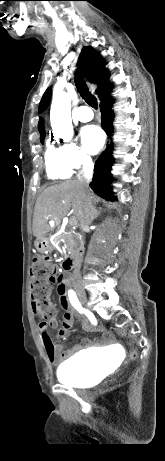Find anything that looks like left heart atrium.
<instances>
[{
  "instance_id": "39dd6f15",
  "label": "left heart atrium",
  "mask_w": 165,
  "mask_h": 461,
  "mask_svg": "<svg viewBox=\"0 0 165 461\" xmlns=\"http://www.w3.org/2000/svg\"><path fill=\"white\" fill-rule=\"evenodd\" d=\"M81 140L89 153L96 154L102 148L105 137L97 126L89 125L82 129Z\"/></svg>"
}]
</instances>
